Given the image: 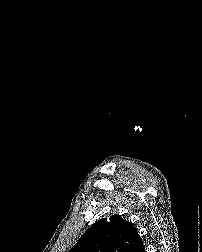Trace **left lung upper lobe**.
Masks as SVG:
<instances>
[{
	"label": "left lung upper lobe",
	"instance_id": "obj_1",
	"mask_svg": "<svg viewBox=\"0 0 202 252\" xmlns=\"http://www.w3.org/2000/svg\"><path fill=\"white\" fill-rule=\"evenodd\" d=\"M139 240L133 224L115 214L96 221L69 252H135Z\"/></svg>",
	"mask_w": 202,
	"mask_h": 252
}]
</instances>
